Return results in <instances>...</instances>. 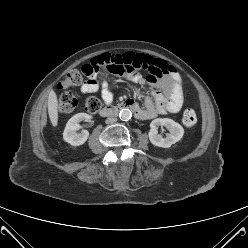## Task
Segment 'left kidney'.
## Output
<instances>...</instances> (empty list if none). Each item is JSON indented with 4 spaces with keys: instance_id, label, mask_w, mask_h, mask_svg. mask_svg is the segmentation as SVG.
I'll return each instance as SVG.
<instances>
[{
    "instance_id": "left-kidney-1",
    "label": "left kidney",
    "mask_w": 248,
    "mask_h": 248,
    "mask_svg": "<svg viewBox=\"0 0 248 248\" xmlns=\"http://www.w3.org/2000/svg\"><path fill=\"white\" fill-rule=\"evenodd\" d=\"M166 127L170 133L163 138L158 134L157 128ZM150 131L148 133L150 142L158 147L169 148L172 144L181 140L184 134L183 127L169 118H157L150 123Z\"/></svg>"
}]
</instances>
